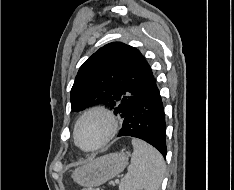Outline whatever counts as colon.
I'll use <instances>...</instances> for the list:
<instances>
[{
    "label": "colon",
    "instance_id": "5ec220e1",
    "mask_svg": "<svg viewBox=\"0 0 234 190\" xmlns=\"http://www.w3.org/2000/svg\"><path fill=\"white\" fill-rule=\"evenodd\" d=\"M82 190H103L101 187H96V188H86Z\"/></svg>",
    "mask_w": 234,
    "mask_h": 190
}]
</instances>
